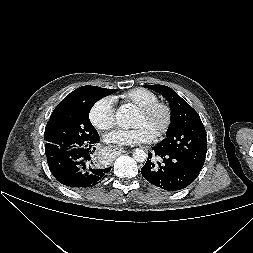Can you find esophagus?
<instances>
[{"mask_svg":"<svg viewBox=\"0 0 253 253\" xmlns=\"http://www.w3.org/2000/svg\"><path fill=\"white\" fill-rule=\"evenodd\" d=\"M106 149L114 154H119L122 152V149L115 145H109L106 147Z\"/></svg>","mask_w":253,"mask_h":253,"instance_id":"esophagus-1","label":"esophagus"}]
</instances>
